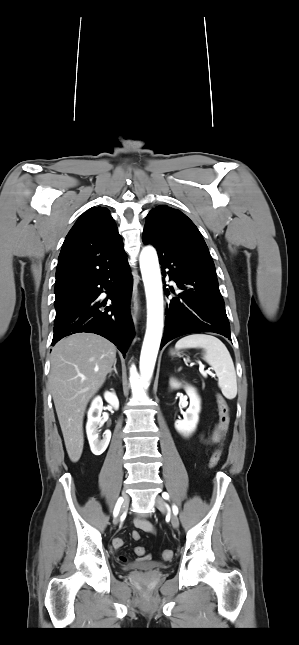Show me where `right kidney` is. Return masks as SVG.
<instances>
[{
	"mask_svg": "<svg viewBox=\"0 0 299 645\" xmlns=\"http://www.w3.org/2000/svg\"><path fill=\"white\" fill-rule=\"evenodd\" d=\"M104 398L115 410L119 408V400L114 392H105ZM102 409L103 401L98 396L92 401L87 415L86 433L91 451L94 455H101L106 450L111 439V432L109 430H106L103 433L102 439H99V428L104 423L101 418Z\"/></svg>",
	"mask_w": 299,
	"mask_h": 645,
	"instance_id": "obj_1",
	"label": "right kidney"
}]
</instances>
